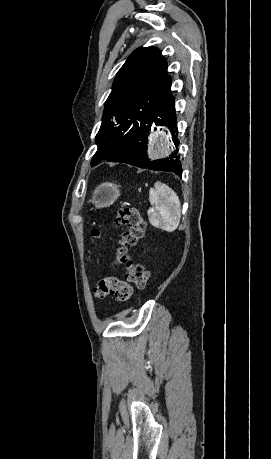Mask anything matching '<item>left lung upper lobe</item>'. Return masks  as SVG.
I'll return each instance as SVG.
<instances>
[{"label": "left lung upper lobe", "mask_w": 271, "mask_h": 459, "mask_svg": "<svg viewBox=\"0 0 271 459\" xmlns=\"http://www.w3.org/2000/svg\"><path fill=\"white\" fill-rule=\"evenodd\" d=\"M166 74L167 62L157 48H138L127 59L105 102L102 123L96 135L98 149L91 165H97L108 155L109 138L116 129L151 108L155 91L168 78Z\"/></svg>", "instance_id": "obj_1"}]
</instances>
